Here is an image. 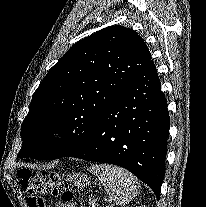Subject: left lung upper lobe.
Returning <instances> with one entry per match:
<instances>
[{
  "label": "left lung upper lobe",
  "instance_id": "obj_1",
  "mask_svg": "<svg viewBox=\"0 0 206 207\" xmlns=\"http://www.w3.org/2000/svg\"><path fill=\"white\" fill-rule=\"evenodd\" d=\"M150 60L144 40L119 25L75 43L33 94L18 157L56 159L84 148L105 110ZM55 132L62 140L45 137Z\"/></svg>",
  "mask_w": 206,
  "mask_h": 207
}]
</instances>
